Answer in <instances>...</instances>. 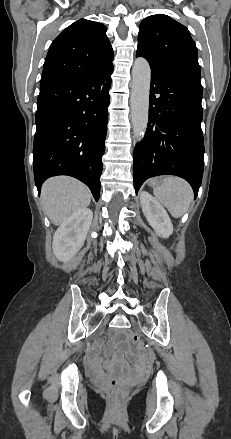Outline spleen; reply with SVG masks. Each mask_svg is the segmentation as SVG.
<instances>
[{"label": "spleen", "mask_w": 231, "mask_h": 439, "mask_svg": "<svg viewBox=\"0 0 231 439\" xmlns=\"http://www.w3.org/2000/svg\"><path fill=\"white\" fill-rule=\"evenodd\" d=\"M155 198L160 201L174 218H180L188 210L193 199L190 185L178 177L160 179L153 188Z\"/></svg>", "instance_id": "spleen-1"}]
</instances>
